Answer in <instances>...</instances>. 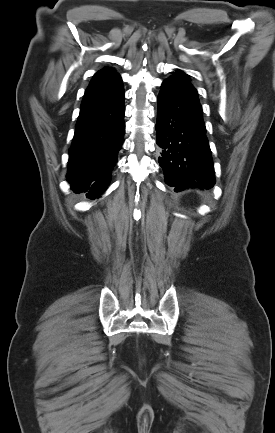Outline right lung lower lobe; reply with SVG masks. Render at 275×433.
<instances>
[{"label": "right lung lower lobe", "instance_id": "right-lung-lower-lobe-1", "mask_svg": "<svg viewBox=\"0 0 275 433\" xmlns=\"http://www.w3.org/2000/svg\"><path fill=\"white\" fill-rule=\"evenodd\" d=\"M124 99L122 82L86 90L68 161L75 193L95 199L106 190L125 133Z\"/></svg>", "mask_w": 275, "mask_h": 433}]
</instances>
